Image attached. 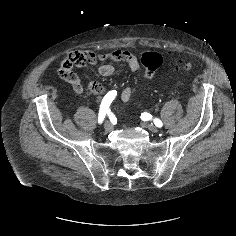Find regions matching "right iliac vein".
<instances>
[{
  "instance_id": "1",
  "label": "right iliac vein",
  "mask_w": 236,
  "mask_h": 236,
  "mask_svg": "<svg viewBox=\"0 0 236 236\" xmlns=\"http://www.w3.org/2000/svg\"><path fill=\"white\" fill-rule=\"evenodd\" d=\"M104 129L106 132H110L113 130V124L110 121H106L104 124Z\"/></svg>"
}]
</instances>
